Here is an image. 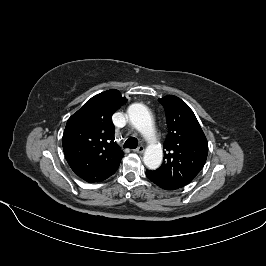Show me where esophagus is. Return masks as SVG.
<instances>
[{"instance_id":"34e87169","label":"esophagus","mask_w":266,"mask_h":266,"mask_svg":"<svg viewBox=\"0 0 266 266\" xmlns=\"http://www.w3.org/2000/svg\"><path fill=\"white\" fill-rule=\"evenodd\" d=\"M144 150H145L144 146L141 145L137 149H135L134 152H136V153H143Z\"/></svg>"}]
</instances>
